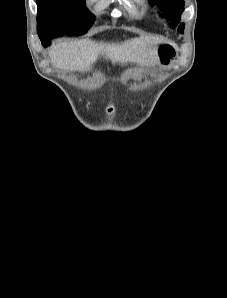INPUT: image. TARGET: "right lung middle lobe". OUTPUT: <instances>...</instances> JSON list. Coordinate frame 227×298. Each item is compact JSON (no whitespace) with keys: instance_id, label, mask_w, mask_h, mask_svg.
<instances>
[{"instance_id":"1","label":"right lung middle lobe","mask_w":227,"mask_h":298,"mask_svg":"<svg viewBox=\"0 0 227 298\" xmlns=\"http://www.w3.org/2000/svg\"><path fill=\"white\" fill-rule=\"evenodd\" d=\"M38 35L52 32L56 36L81 35L94 22L85 0H37Z\"/></svg>"}]
</instances>
